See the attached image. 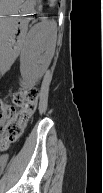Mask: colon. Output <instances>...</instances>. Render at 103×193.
Here are the masks:
<instances>
[{"label":"colon","instance_id":"1","mask_svg":"<svg viewBox=\"0 0 103 193\" xmlns=\"http://www.w3.org/2000/svg\"><path fill=\"white\" fill-rule=\"evenodd\" d=\"M38 92L36 89H24L14 94V103L19 107L18 112L8 104L2 105V117L7 122L1 138V148L6 149L21 135L27 120L36 110Z\"/></svg>","mask_w":103,"mask_h":193}]
</instances>
